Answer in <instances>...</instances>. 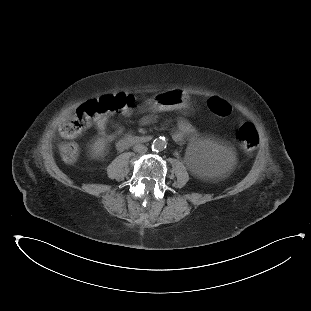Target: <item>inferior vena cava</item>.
<instances>
[{
  "instance_id": "1",
  "label": "inferior vena cava",
  "mask_w": 311,
  "mask_h": 311,
  "mask_svg": "<svg viewBox=\"0 0 311 311\" xmlns=\"http://www.w3.org/2000/svg\"><path fill=\"white\" fill-rule=\"evenodd\" d=\"M133 150L137 153L144 154L147 152V147L143 144H136L133 146Z\"/></svg>"
}]
</instances>
